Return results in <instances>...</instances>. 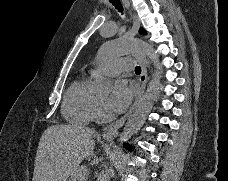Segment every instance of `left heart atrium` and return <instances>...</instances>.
<instances>
[{
  "mask_svg": "<svg viewBox=\"0 0 228 181\" xmlns=\"http://www.w3.org/2000/svg\"><path fill=\"white\" fill-rule=\"evenodd\" d=\"M132 95L131 85L123 79H120L115 82L111 98L109 100V107L115 112H121L128 105ZM121 99V102L118 103V99Z\"/></svg>",
  "mask_w": 228,
  "mask_h": 181,
  "instance_id": "obj_1",
  "label": "left heart atrium"
}]
</instances>
